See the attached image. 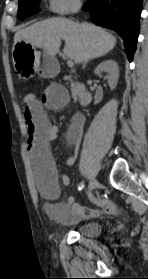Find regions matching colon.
<instances>
[{
    "mask_svg": "<svg viewBox=\"0 0 148 279\" xmlns=\"http://www.w3.org/2000/svg\"><path fill=\"white\" fill-rule=\"evenodd\" d=\"M36 99L37 96L34 92H26L23 96V101L26 105L34 103Z\"/></svg>",
    "mask_w": 148,
    "mask_h": 279,
    "instance_id": "obj_1",
    "label": "colon"
}]
</instances>
